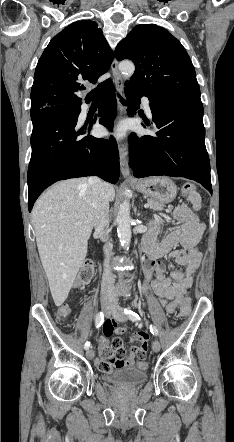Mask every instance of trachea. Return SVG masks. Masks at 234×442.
I'll use <instances>...</instances> for the list:
<instances>
[{
    "mask_svg": "<svg viewBox=\"0 0 234 442\" xmlns=\"http://www.w3.org/2000/svg\"><path fill=\"white\" fill-rule=\"evenodd\" d=\"M98 100V99H97ZM121 102L123 103V104H126V102L123 100V99H121Z\"/></svg>",
    "mask_w": 234,
    "mask_h": 442,
    "instance_id": "1",
    "label": "trachea"
}]
</instances>
